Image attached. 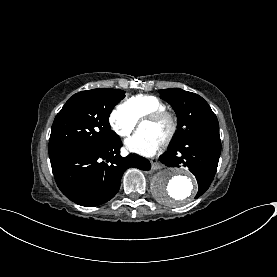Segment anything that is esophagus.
<instances>
[{
    "label": "esophagus",
    "instance_id": "34e87169",
    "mask_svg": "<svg viewBox=\"0 0 277 277\" xmlns=\"http://www.w3.org/2000/svg\"><path fill=\"white\" fill-rule=\"evenodd\" d=\"M150 163H151V168L153 170H159V169H162L163 165L159 162V160L157 158H152L150 160Z\"/></svg>",
    "mask_w": 277,
    "mask_h": 277
}]
</instances>
